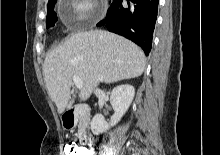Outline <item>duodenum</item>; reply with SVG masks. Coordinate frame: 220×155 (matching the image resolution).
<instances>
[{"label": "duodenum", "instance_id": "410a0bca", "mask_svg": "<svg viewBox=\"0 0 220 155\" xmlns=\"http://www.w3.org/2000/svg\"><path fill=\"white\" fill-rule=\"evenodd\" d=\"M88 111L89 109L86 105H77L64 114V122L69 126H73L76 120L79 117L86 115ZM80 142L83 145H89L91 143V137L84 133L80 137Z\"/></svg>", "mask_w": 220, "mask_h": 155}]
</instances>
